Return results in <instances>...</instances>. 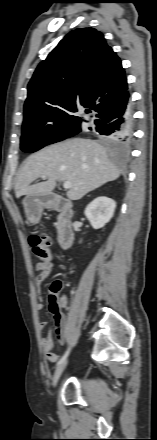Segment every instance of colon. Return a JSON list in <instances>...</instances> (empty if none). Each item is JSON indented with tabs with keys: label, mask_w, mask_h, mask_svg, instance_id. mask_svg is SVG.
Here are the masks:
<instances>
[{
	"label": "colon",
	"mask_w": 157,
	"mask_h": 440,
	"mask_svg": "<svg viewBox=\"0 0 157 440\" xmlns=\"http://www.w3.org/2000/svg\"><path fill=\"white\" fill-rule=\"evenodd\" d=\"M29 243L36 256L42 260L41 262L50 261L49 237L46 234L33 233L29 237ZM61 290L62 283L60 280H55L48 285V301L51 309H57L63 304V299L59 298Z\"/></svg>",
	"instance_id": "colon-1"
}]
</instances>
